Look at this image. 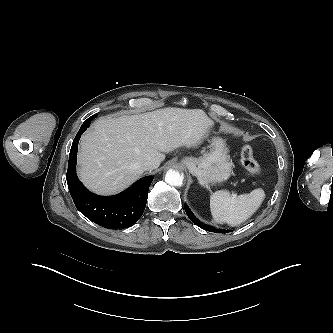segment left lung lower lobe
I'll return each instance as SVG.
<instances>
[{"mask_svg": "<svg viewBox=\"0 0 333 333\" xmlns=\"http://www.w3.org/2000/svg\"><path fill=\"white\" fill-rule=\"evenodd\" d=\"M185 211L189 217V219L194 223L196 224L197 226H199L200 228H203L204 230L206 231H209V232H217V233H228L230 232V230H225V229H216L212 226H209V225H206L204 223H202L201 221L197 220L195 218V216H193V214L189 211V209L187 208V206H185Z\"/></svg>", "mask_w": 333, "mask_h": 333, "instance_id": "1", "label": "left lung lower lobe"}]
</instances>
